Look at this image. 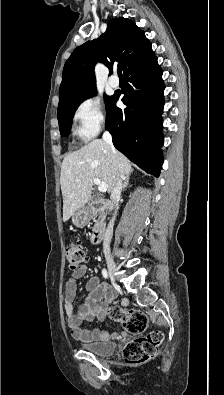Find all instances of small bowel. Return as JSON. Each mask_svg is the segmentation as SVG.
I'll return each mask as SVG.
<instances>
[{
    "mask_svg": "<svg viewBox=\"0 0 224 395\" xmlns=\"http://www.w3.org/2000/svg\"><path fill=\"white\" fill-rule=\"evenodd\" d=\"M86 273L87 267L85 265L79 266L73 272L65 286L63 307L67 317V325L73 338L82 342H93L106 339L109 335L97 329H85L82 324L85 321H92L94 318L103 319L107 304L115 299V291L102 283L98 277H91L85 285L87 297L79 306L78 311L75 312L74 301L77 295V281L83 278Z\"/></svg>",
    "mask_w": 224,
    "mask_h": 395,
    "instance_id": "1",
    "label": "small bowel"
}]
</instances>
